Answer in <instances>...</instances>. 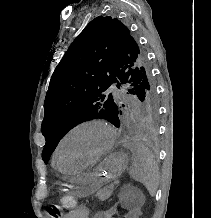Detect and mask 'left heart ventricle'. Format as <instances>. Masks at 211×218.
Listing matches in <instances>:
<instances>
[{
    "label": "left heart ventricle",
    "instance_id": "b2bd125f",
    "mask_svg": "<svg viewBox=\"0 0 211 218\" xmlns=\"http://www.w3.org/2000/svg\"><path fill=\"white\" fill-rule=\"evenodd\" d=\"M107 134L99 127L82 128L66 139L60 149L59 164L82 165L92 160L104 148Z\"/></svg>",
    "mask_w": 211,
    "mask_h": 218
}]
</instances>
